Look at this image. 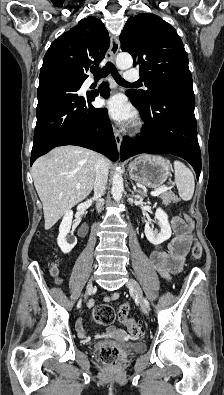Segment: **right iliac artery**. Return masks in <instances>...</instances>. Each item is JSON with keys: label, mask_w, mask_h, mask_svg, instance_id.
Listing matches in <instances>:
<instances>
[{"label": "right iliac artery", "mask_w": 224, "mask_h": 395, "mask_svg": "<svg viewBox=\"0 0 224 395\" xmlns=\"http://www.w3.org/2000/svg\"><path fill=\"white\" fill-rule=\"evenodd\" d=\"M80 305H81V300L79 301V303H78L77 307L79 308V307H80Z\"/></svg>", "instance_id": "1"}]
</instances>
